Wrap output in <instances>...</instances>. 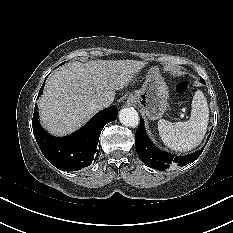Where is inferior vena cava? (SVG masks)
<instances>
[{"label": "inferior vena cava", "instance_id": "inferior-vena-cava-1", "mask_svg": "<svg viewBox=\"0 0 233 233\" xmlns=\"http://www.w3.org/2000/svg\"><path fill=\"white\" fill-rule=\"evenodd\" d=\"M98 103L101 107H107L112 103V101L108 98H100Z\"/></svg>", "mask_w": 233, "mask_h": 233}]
</instances>
